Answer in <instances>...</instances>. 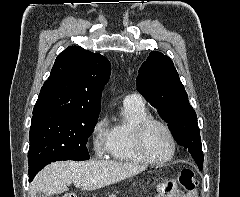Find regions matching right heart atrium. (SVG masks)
<instances>
[{"instance_id": "d8ad5b80", "label": "right heart atrium", "mask_w": 240, "mask_h": 197, "mask_svg": "<svg viewBox=\"0 0 240 197\" xmlns=\"http://www.w3.org/2000/svg\"><path fill=\"white\" fill-rule=\"evenodd\" d=\"M109 130L106 116L100 117L94 124L91 131L93 149L98 156L107 152Z\"/></svg>"}]
</instances>
